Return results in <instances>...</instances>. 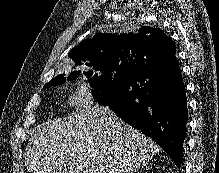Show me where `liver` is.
I'll return each instance as SVG.
<instances>
[{
	"mask_svg": "<svg viewBox=\"0 0 219 173\" xmlns=\"http://www.w3.org/2000/svg\"><path fill=\"white\" fill-rule=\"evenodd\" d=\"M158 151L152 139L95 105L39 126L24 156L30 173H134Z\"/></svg>",
	"mask_w": 219,
	"mask_h": 173,
	"instance_id": "liver-1",
	"label": "liver"
}]
</instances>
